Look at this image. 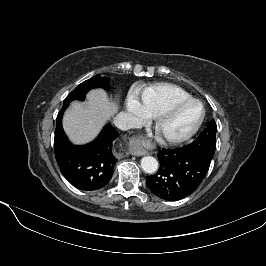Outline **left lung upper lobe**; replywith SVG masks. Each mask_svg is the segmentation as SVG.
Wrapping results in <instances>:
<instances>
[{
  "instance_id": "5c2ea615",
  "label": "left lung upper lobe",
  "mask_w": 266,
  "mask_h": 266,
  "mask_svg": "<svg viewBox=\"0 0 266 266\" xmlns=\"http://www.w3.org/2000/svg\"><path fill=\"white\" fill-rule=\"evenodd\" d=\"M216 130V123L212 120L199 137L191 144L187 145L189 150L200 155L208 163L211 162L215 153Z\"/></svg>"
}]
</instances>
